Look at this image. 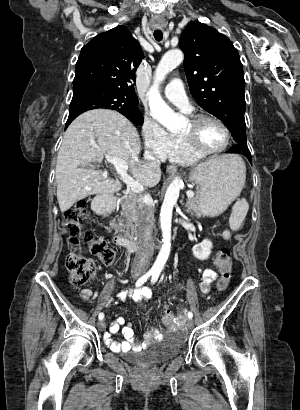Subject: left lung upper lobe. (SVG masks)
Here are the masks:
<instances>
[{
  "label": "left lung upper lobe",
  "mask_w": 300,
  "mask_h": 410,
  "mask_svg": "<svg viewBox=\"0 0 300 410\" xmlns=\"http://www.w3.org/2000/svg\"><path fill=\"white\" fill-rule=\"evenodd\" d=\"M179 46L193 98L225 124L236 145H246L244 73L233 43L206 24L190 22Z\"/></svg>",
  "instance_id": "5c2ea615"
}]
</instances>
